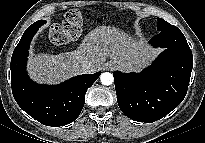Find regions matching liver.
Returning <instances> with one entry per match:
<instances>
[{
  "label": "liver",
  "mask_w": 205,
  "mask_h": 143,
  "mask_svg": "<svg viewBox=\"0 0 205 143\" xmlns=\"http://www.w3.org/2000/svg\"><path fill=\"white\" fill-rule=\"evenodd\" d=\"M157 54L116 27L99 26L90 31L79 47L70 52L50 55L32 54L28 59L29 76L36 82L56 84L82 73L81 64L92 62L101 69L109 57L125 72L139 71Z\"/></svg>",
  "instance_id": "1"
}]
</instances>
